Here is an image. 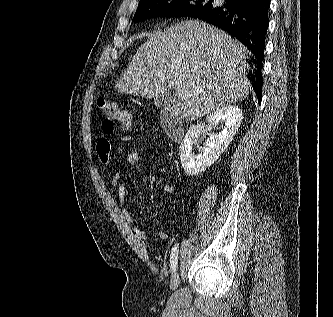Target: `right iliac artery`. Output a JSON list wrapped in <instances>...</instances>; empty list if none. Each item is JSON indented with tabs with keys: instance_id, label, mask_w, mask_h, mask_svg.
Listing matches in <instances>:
<instances>
[{
	"instance_id": "1",
	"label": "right iliac artery",
	"mask_w": 333,
	"mask_h": 317,
	"mask_svg": "<svg viewBox=\"0 0 333 317\" xmlns=\"http://www.w3.org/2000/svg\"><path fill=\"white\" fill-rule=\"evenodd\" d=\"M178 252H179V246L178 244H175L171 251L170 256V265L172 272L176 271L177 263H178Z\"/></svg>"
}]
</instances>
